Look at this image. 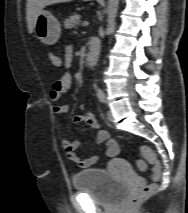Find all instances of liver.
I'll return each mask as SVG.
<instances>
[{
	"instance_id": "1",
	"label": "liver",
	"mask_w": 188,
	"mask_h": 213,
	"mask_svg": "<svg viewBox=\"0 0 188 213\" xmlns=\"http://www.w3.org/2000/svg\"><path fill=\"white\" fill-rule=\"evenodd\" d=\"M63 1L67 0H27L26 18L28 32L30 34L33 33L37 16L45 6Z\"/></svg>"
}]
</instances>
